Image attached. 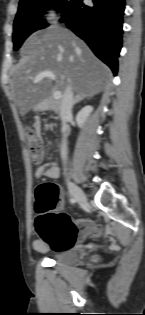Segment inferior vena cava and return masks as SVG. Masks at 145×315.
I'll use <instances>...</instances> for the list:
<instances>
[{"label":"inferior vena cava","mask_w":145,"mask_h":315,"mask_svg":"<svg viewBox=\"0 0 145 315\" xmlns=\"http://www.w3.org/2000/svg\"><path fill=\"white\" fill-rule=\"evenodd\" d=\"M74 94L72 86L69 85L66 90L64 91L61 105H60V117L62 121V133H63V140L61 145V157L63 163L65 164L66 160V153H67V146H66V137H67V119L72 115V107L74 103Z\"/></svg>","instance_id":"obj_1"}]
</instances>
